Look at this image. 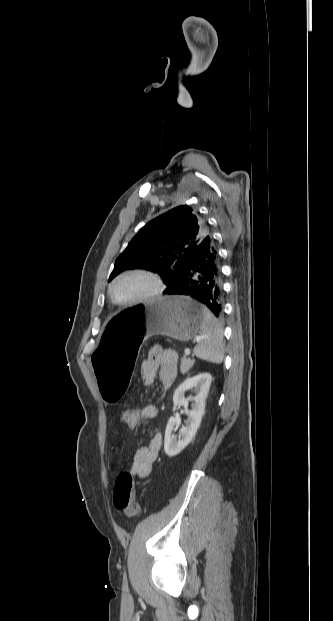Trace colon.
I'll list each match as a JSON object with an SVG mask.
<instances>
[{
  "instance_id": "5ec220e1",
  "label": "colon",
  "mask_w": 333,
  "mask_h": 621,
  "mask_svg": "<svg viewBox=\"0 0 333 621\" xmlns=\"http://www.w3.org/2000/svg\"><path fill=\"white\" fill-rule=\"evenodd\" d=\"M121 417L128 428L134 429L141 422V410L133 407L126 408ZM114 505L128 517H133L139 512V506L135 500L134 480L128 471L121 472L116 478Z\"/></svg>"
}]
</instances>
